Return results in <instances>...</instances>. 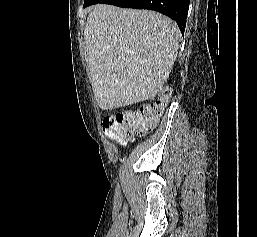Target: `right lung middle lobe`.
<instances>
[{
  "instance_id": "1",
  "label": "right lung middle lobe",
  "mask_w": 257,
  "mask_h": 237,
  "mask_svg": "<svg viewBox=\"0 0 257 237\" xmlns=\"http://www.w3.org/2000/svg\"><path fill=\"white\" fill-rule=\"evenodd\" d=\"M104 1L105 0H85L84 7L90 6L92 4L103 3Z\"/></svg>"
}]
</instances>
